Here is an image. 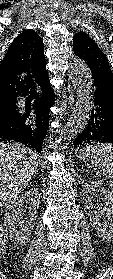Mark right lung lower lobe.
Returning <instances> with one entry per match:
<instances>
[{
  "instance_id": "98d812e1",
  "label": "right lung lower lobe",
  "mask_w": 113,
  "mask_h": 279,
  "mask_svg": "<svg viewBox=\"0 0 113 279\" xmlns=\"http://www.w3.org/2000/svg\"><path fill=\"white\" fill-rule=\"evenodd\" d=\"M37 84L41 89V95L37 96L32 105L36 115L35 124L30 122L32 120L30 111L16 110L12 119L0 124V141L20 142L40 153L47 133L49 108L54 101V92L50 88L48 74Z\"/></svg>"
}]
</instances>
